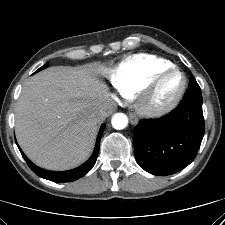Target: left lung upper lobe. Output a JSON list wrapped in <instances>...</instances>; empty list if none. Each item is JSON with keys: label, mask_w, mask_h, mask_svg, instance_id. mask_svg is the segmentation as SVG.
Returning a JSON list of instances; mask_svg holds the SVG:
<instances>
[{"label": "left lung upper lobe", "mask_w": 225, "mask_h": 225, "mask_svg": "<svg viewBox=\"0 0 225 225\" xmlns=\"http://www.w3.org/2000/svg\"><path fill=\"white\" fill-rule=\"evenodd\" d=\"M189 89H194V90H199L201 91L198 83L196 82L195 78L193 76H191V79L189 81Z\"/></svg>", "instance_id": "1"}]
</instances>
